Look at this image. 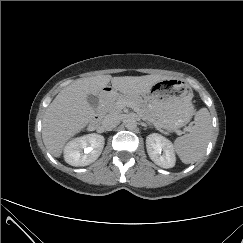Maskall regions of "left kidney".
Instances as JSON below:
<instances>
[{
    "instance_id": "obj_1",
    "label": "left kidney",
    "mask_w": 243,
    "mask_h": 243,
    "mask_svg": "<svg viewBox=\"0 0 243 243\" xmlns=\"http://www.w3.org/2000/svg\"><path fill=\"white\" fill-rule=\"evenodd\" d=\"M146 148L150 159L162 168L175 166V153L171 141L160 134L153 133L146 138Z\"/></svg>"
}]
</instances>
